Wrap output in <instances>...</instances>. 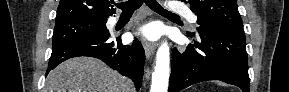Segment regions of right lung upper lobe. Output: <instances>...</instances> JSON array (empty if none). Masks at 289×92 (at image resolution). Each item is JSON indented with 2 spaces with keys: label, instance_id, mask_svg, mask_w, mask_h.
Segmentation results:
<instances>
[{
  "label": "right lung upper lobe",
  "instance_id": "1",
  "mask_svg": "<svg viewBox=\"0 0 289 92\" xmlns=\"http://www.w3.org/2000/svg\"><path fill=\"white\" fill-rule=\"evenodd\" d=\"M113 1L107 0H60L56 23L71 20L107 21L114 13Z\"/></svg>",
  "mask_w": 289,
  "mask_h": 92
}]
</instances>
